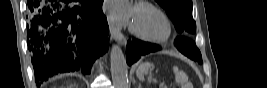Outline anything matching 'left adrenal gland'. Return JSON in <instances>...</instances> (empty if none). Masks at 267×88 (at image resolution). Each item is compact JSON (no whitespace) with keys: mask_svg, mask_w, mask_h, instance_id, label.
<instances>
[{"mask_svg":"<svg viewBox=\"0 0 267 88\" xmlns=\"http://www.w3.org/2000/svg\"><path fill=\"white\" fill-rule=\"evenodd\" d=\"M139 88H141V84H139Z\"/></svg>","mask_w":267,"mask_h":88,"instance_id":"left-adrenal-gland-1","label":"left adrenal gland"}]
</instances>
